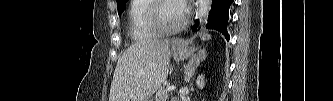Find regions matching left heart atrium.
Segmentation results:
<instances>
[{
  "instance_id": "39dd6f15",
  "label": "left heart atrium",
  "mask_w": 333,
  "mask_h": 101,
  "mask_svg": "<svg viewBox=\"0 0 333 101\" xmlns=\"http://www.w3.org/2000/svg\"><path fill=\"white\" fill-rule=\"evenodd\" d=\"M177 5H178V8L180 9V11L182 13H184L185 10H186V2L185 1H178Z\"/></svg>"
}]
</instances>
